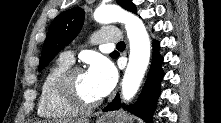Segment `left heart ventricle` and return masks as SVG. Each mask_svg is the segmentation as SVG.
<instances>
[{
    "label": "left heart ventricle",
    "mask_w": 221,
    "mask_h": 123,
    "mask_svg": "<svg viewBox=\"0 0 221 123\" xmlns=\"http://www.w3.org/2000/svg\"><path fill=\"white\" fill-rule=\"evenodd\" d=\"M75 85L78 93L84 100L93 102L101 98L87 72L76 76Z\"/></svg>",
    "instance_id": "left-heart-ventricle-1"
}]
</instances>
